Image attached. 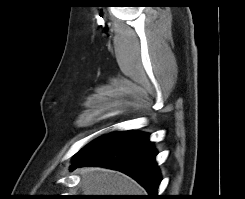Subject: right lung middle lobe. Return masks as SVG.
Segmentation results:
<instances>
[{
    "mask_svg": "<svg viewBox=\"0 0 245 199\" xmlns=\"http://www.w3.org/2000/svg\"><path fill=\"white\" fill-rule=\"evenodd\" d=\"M105 135H103V136H100V137H98V138H96V139H94L93 141H91L90 143H88L86 146H84L82 149H84V148H86L87 146H89V145H91V144H93V143H95L96 141H98V140H100L102 137H104ZM81 149V150H82Z\"/></svg>",
    "mask_w": 245,
    "mask_h": 199,
    "instance_id": "obj_1",
    "label": "right lung middle lobe"
}]
</instances>
